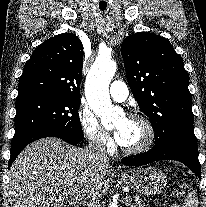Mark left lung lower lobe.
Instances as JSON below:
<instances>
[{
	"label": "left lung lower lobe",
	"mask_w": 206,
	"mask_h": 207,
	"mask_svg": "<svg viewBox=\"0 0 206 207\" xmlns=\"http://www.w3.org/2000/svg\"><path fill=\"white\" fill-rule=\"evenodd\" d=\"M157 160H177L188 166L201 179L196 141L180 140L161 149L129 156L122 160L127 166H141Z\"/></svg>",
	"instance_id": "0a47b994"
}]
</instances>
